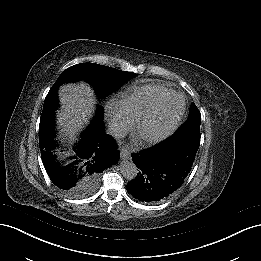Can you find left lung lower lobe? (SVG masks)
<instances>
[{
  "mask_svg": "<svg viewBox=\"0 0 261 261\" xmlns=\"http://www.w3.org/2000/svg\"><path fill=\"white\" fill-rule=\"evenodd\" d=\"M198 148V144L175 133L149 149L133 153L139 173L127 184V191L142 202L167 199L188 176Z\"/></svg>",
  "mask_w": 261,
  "mask_h": 261,
  "instance_id": "0a47b994",
  "label": "left lung lower lobe"
}]
</instances>
